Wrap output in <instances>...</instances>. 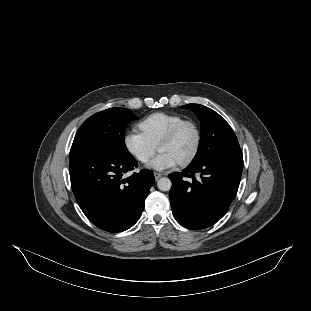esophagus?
Here are the masks:
<instances>
[{
  "label": "esophagus",
  "mask_w": 311,
  "mask_h": 311,
  "mask_svg": "<svg viewBox=\"0 0 311 311\" xmlns=\"http://www.w3.org/2000/svg\"><path fill=\"white\" fill-rule=\"evenodd\" d=\"M154 177H155V180H158L159 178L162 177V174H160L158 172H154Z\"/></svg>",
  "instance_id": "34e87169"
}]
</instances>
